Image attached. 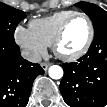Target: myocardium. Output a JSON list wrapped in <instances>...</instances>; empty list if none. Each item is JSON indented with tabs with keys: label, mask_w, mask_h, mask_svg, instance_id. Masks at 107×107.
Returning a JSON list of instances; mask_svg holds the SVG:
<instances>
[{
	"label": "myocardium",
	"mask_w": 107,
	"mask_h": 107,
	"mask_svg": "<svg viewBox=\"0 0 107 107\" xmlns=\"http://www.w3.org/2000/svg\"><path fill=\"white\" fill-rule=\"evenodd\" d=\"M75 18H83L87 22L88 27H89L88 38L80 50H78L77 52H74L72 54H65L60 51V49H59L60 44L62 43V41L64 39L65 32H66L69 24ZM93 39H94V26H93L91 19L84 13H75L72 16H70L69 18H67L64 21V23L62 24V26L60 27V29H59L58 33L56 34L54 41L52 43V49H53L54 54L59 59H61L63 61H67V62H72V61L78 60L79 58H81L82 56H84L87 53V51L89 50V48L93 42Z\"/></svg>",
	"instance_id": "1"
}]
</instances>
